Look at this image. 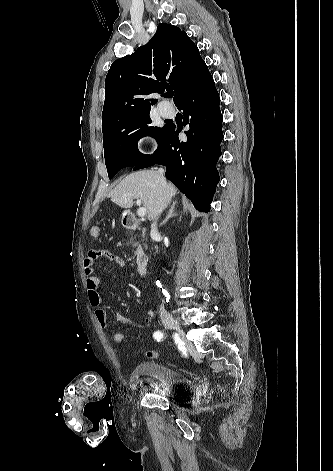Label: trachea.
<instances>
[{
    "mask_svg": "<svg viewBox=\"0 0 333 471\" xmlns=\"http://www.w3.org/2000/svg\"><path fill=\"white\" fill-rule=\"evenodd\" d=\"M173 95H174V92H173V91H169V92L167 93V97H173Z\"/></svg>",
    "mask_w": 333,
    "mask_h": 471,
    "instance_id": "1",
    "label": "trachea"
}]
</instances>
